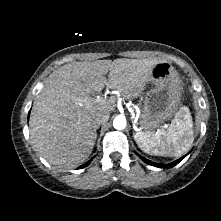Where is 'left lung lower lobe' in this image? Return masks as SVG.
I'll list each match as a JSON object with an SVG mask.
<instances>
[{"mask_svg":"<svg viewBox=\"0 0 221 221\" xmlns=\"http://www.w3.org/2000/svg\"><path fill=\"white\" fill-rule=\"evenodd\" d=\"M140 156V155H139ZM187 156V154L179 159H177L176 161L172 162V163H169V164H158V163H154L150 160H147L146 158L140 156V158L147 164L149 165H152V166H155V167H159V168H171V167H174L175 165H177L182 159H184L185 157Z\"/></svg>","mask_w":221,"mask_h":221,"instance_id":"left-lung-lower-lobe-1","label":"left lung lower lobe"}]
</instances>
